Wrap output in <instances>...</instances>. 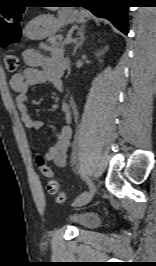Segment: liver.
<instances>
[{
  "label": "liver",
  "mask_w": 156,
  "mask_h": 266,
  "mask_svg": "<svg viewBox=\"0 0 156 266\" xmlns=\"http://www.w3.org/2000/svg\"><path fill=\"white\" fill-rule=\"evenodd\" d=\"M57 8H51L52 11L56 10Z\"/></svg>",
  "instance_id": "liver-1"
}]
</instances>
